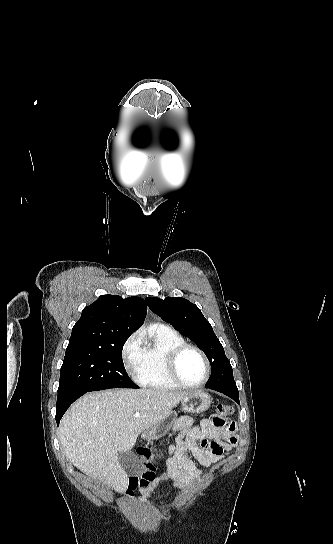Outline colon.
<instances>
[{"label":"colon","instance_id":"1","mask_svg":"<svg viewBox=\"0 0 333 544\" xmlns=\"http://www.w3.org/2000/svg\"><path fill=\"white\" fill-rule=\"evenodd\" d=\"M216 411L220 416H228L233 413L234 409L231 405L220 404ZM137 452L143 461L145 470L142 475L129 478V493L135 489L147 487L155 479L153 452L148 447H140Z\"/></svg>","mask_w":333,"mask_h":544}]
</instances>
